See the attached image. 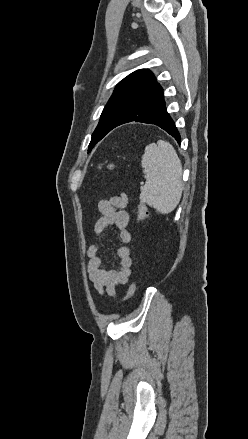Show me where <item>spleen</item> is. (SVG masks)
I'll return each mask as SVG.
<instances>
[{"label":"spleen","instance_id":"1","mask_svg":"<svg viewBox=\"0 0 248 439\" xmlns=\"http://www.w3.org/2000/svg\"><path fill=\"white\" fill-rule=\"evenodd\" d=\"M141 166L146 183L141 187L140 200L158 213L172 212L183 191L182 164L174 147L164 140L147 145Z\"/></svg>","mask_w":248,"mask_h":439}]
</instances>
